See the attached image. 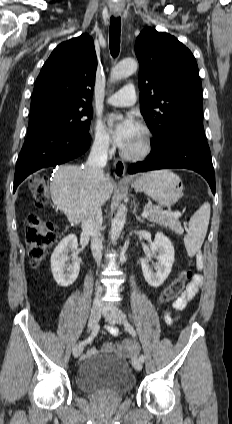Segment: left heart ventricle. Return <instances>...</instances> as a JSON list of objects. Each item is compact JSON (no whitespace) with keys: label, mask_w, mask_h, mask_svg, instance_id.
Listing matches in <instances>:
<instances>
[{"label":"left heart ventricle","mask_w":232,"mask_h":424,"mask_svg":"<svg viewBox=\"0 0 232 424\" xmlns=\"http://www.w3.org/2000/svg\"><path fill=\"white\" fill-rule=\"evenodd\" d=\"M142 132L141 130L135 135V137L131 140V142L125 147L127 150H137L142 144Z\"/></svg>","instance_id":"obj_1"}]
</instances>
